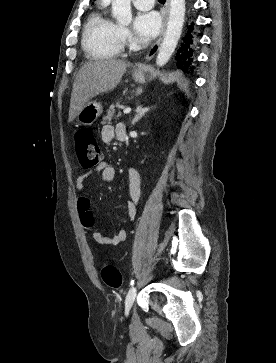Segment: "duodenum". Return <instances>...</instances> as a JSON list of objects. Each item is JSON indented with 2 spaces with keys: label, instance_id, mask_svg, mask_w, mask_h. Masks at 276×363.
<instances>
[{
  "label": "duodenum",
  "instance_id": "410a0bca",
  "mask_svg": "<svg viewBox=\"0 0 276 363\" xmlns=\"http://www.w3.org/2000/svg\"><path fill=\"white\" fill-rule=\"evenodd\" d=\"M119 140H121V141H125V140H126V134H125V133L121 134V135L119 136Z\"/></svg>",
  "mask_w": 276,
  "mask_h": 363
}]
</instances>
